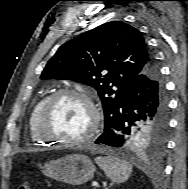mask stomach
<instances>
[{
	"label": "stomach",
	"instance_id": "1",
	"mask_svg": "<svg viewBox=\"0 0 188 189\" xmlns=\"http://www.w3.org/2000/svg\"><path fill=\"white\" fill-rule=\"evenodd\" d=\"M42 172L62 182L81 185L93 177L95 167L89 157L72 154L47 162L42 167Z\"/></svg>",
	"mask_w": 188,
	"mask_h": 189
}]
</instances>
